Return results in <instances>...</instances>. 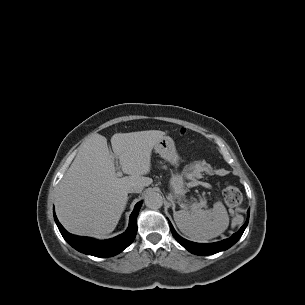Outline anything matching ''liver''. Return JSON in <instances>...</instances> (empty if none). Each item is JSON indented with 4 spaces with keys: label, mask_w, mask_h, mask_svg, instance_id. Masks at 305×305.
<instances>
[{
    "label": "liver",
    "mask_w": 305,
    "mask_h": 305,
    "mask_svg": "<svg viewBox=\"0 0 305 305\" xmlns=\"http://www.w3.org/2000/svg\"><path fill=\"white\" fill-rule=\"evenodd\" d=\"M159 130L116 133L111 145L123 173L116 176L107 139L94 134L83 142L56 189V214L73 234L103 238L117 226L132 186H149L151 152L164 137Z\"/></svg>",
    "instance_id": "1"
}]
</instances>
